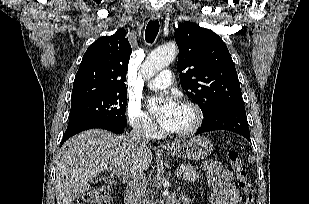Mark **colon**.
I'll return each instance as SVG.
<instances>
[{
	"label": "colon",
	"instance_id": "colon-1",
	"mask_svg": "<svg viewBox=\"0 0 309 204\" xmlns=\"http://www.w3.org/2000/svg\"><path fill=\"white\" fill-rule=\"evenodd\" d=\"M228 159L230 166L236 174L239 186L244 193L245 204H253L255 200V188L248 177L239 153L236 150H230L228 152ZM111 196L112 188L109 186H101L83 195L78 204H107Z\"/></svg>",
	"mask_w": 309,
	"mask_h": 204
}]
</instances>
